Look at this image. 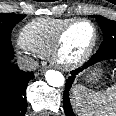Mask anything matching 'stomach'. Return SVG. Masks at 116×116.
Instances as JSON below:
<instances>
[{
	"label": "stomach",
	"mask_w": 116,
	"mask_h": 116,
	"mask_svg": "<svg viewBox=\"0 0 116 116\" xmlns=\"http://www.w3.org/2000/svg\"><path fill=\"white\" fill-rule=\"evenodd\" d=\"M99 77V71L98 70H95V71H92L90 75H88V80L89 81H95L97 80Z\"/></svg>",
	"instance_id": "1"
}]
</instances>
